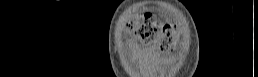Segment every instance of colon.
<instances>
[{
    "mask_svg": "<svg viewBox=\"0 0 258 77\" xmlns=\"http://www.w3.org/2000/svg\"><path fill=\"white\" fill-rule=\"evenodd\" d=\"M128 26L143 43L156 45L162 51L170 50L178 31L175 25L158 22L152 14L135 16Z\"/></svg>",
    "mask_w": 258,
    "mask_h": 77,
    "instance_id": "1",
    "label": "colon"
}]
</instances>
